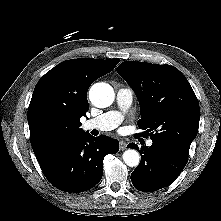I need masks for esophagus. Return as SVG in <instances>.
Here are the masks:
<instances>
[{"label":"esophagus","mask_w":221,"mask_h":221,"mask_svg":"<svg viewBox=\"0 0 221 221\" xmlns=\"http://www.w3.org/2000/svg\"><path fill=\"white\" fill-rule=\"evenodd\" d=\"M119 144H120V150L121 151L126 149V143L124 141H120Z\"/></svg>","instance_id":"obj_1"}]
</instances>
